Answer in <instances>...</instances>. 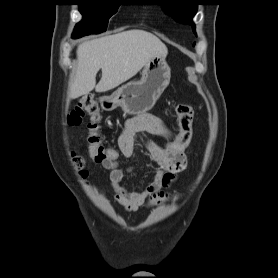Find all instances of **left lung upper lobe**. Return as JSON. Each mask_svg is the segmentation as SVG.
Wrapping results in <instances>:
<instances>
[{
    "label": "left lung upper lobe",
    "mask_w": 278,
    "mask_h": 278,
    "mask_svg": "<svg viewBox=\"0 0 278 278\" xmlns=\"http://www.w3.org/2000/svg\"><path fill=\"white\" fill-rule=\"evenodd\" d=\"M159 5H163L166 10L178 22L192 25L195 32V26L192 22L196 14L198 3L195 0H158Z\"/></svg>",
    "instance_id": "5c2ea615"
}]
</instances>
